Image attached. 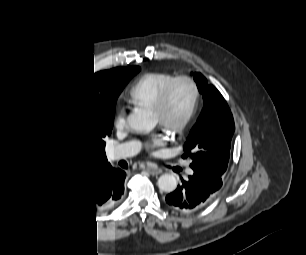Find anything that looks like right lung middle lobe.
Wrapping results in <instances>:
<instances>
[{
	"mask_svg": "<svg viewBox=\"0 0 306 255\" xmlns=\"http://www.w3.org/2000/svg\"><path fill=\"white\" fill-rule=\"evenodd\" d=\"M139 70L133 68L126 71V83ZM113 122L114 113L108 105L72 108L67 112L59 136L61 155L58 168L68 180L75 181L106 161L104 139L111 134ZM80 160H85V163L79 170L74 171L75 162Z\"/></svg>",
	"mask_w": 306,
	"mask_h": 255,
	"instance_id": "1",
	"label": "right lung middle lobe"
}]
</instances>
